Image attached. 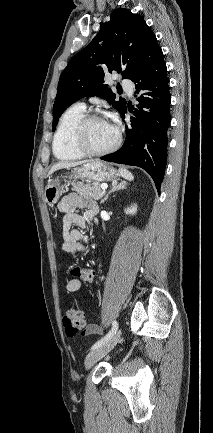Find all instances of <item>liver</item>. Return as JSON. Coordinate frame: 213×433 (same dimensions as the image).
I'll list each match as a JSON object with an SVG mask.
<instances>
[{"mask_svg":"<svg viewBox=\"0 0 213 433\" xmlns=\"http://www.w3.org/2000/svg\"><path fill=\"white\" fill-rule=\"evenodd\" d=\"M90 162L89 160H85V161H79V162H60L55 164L54 166H52V168L50 169L48 175L53 174L55 171L59 170V169H65V168H71V167H75L81 164H85Z\"/></svg>","mask_w":213,"mask_h":433,"instance_id":"obj_1","label":"liver"}]
</instances>
